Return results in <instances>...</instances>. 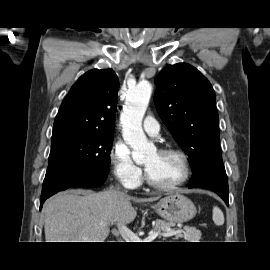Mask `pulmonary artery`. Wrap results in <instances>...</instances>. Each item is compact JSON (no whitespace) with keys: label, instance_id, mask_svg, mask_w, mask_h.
<instances>
[{"label":"pulmonary artery","instance_id":"pulmonary-artery-1","mask_svg":"<svg viewBox=\"0 0 270 270\" xmlns=\"http://www.w3.org/2000/svg\"><path fill=\"white\" fill-rule=\"evenodd\" d=\"M143 128L151 136H157L160 131L158 122L152 116H147L145 118Z\"/></svg>","mask_w":270,"mask_h":270}]
</instances>
